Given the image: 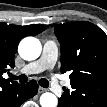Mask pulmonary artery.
I'll return each mask as SVG.
<instances>
[{"instance_id":"e3ab8cb5","label":"pulmonary artery","mask_w":107,"mask_h":107,"mask_svg":"<svg viewBox=\"0 0 107 107\" xmlns=\"http://www.w3.org/2000/svg\"><path fill=\"white\" fill-rule=\"evenodd\" d=\"M57 54L56 45L52 42H47L44 45L41 58L25 66L23 71L27 74H33L51 68L56 62Z\"/></svg>"}]
</instances>
